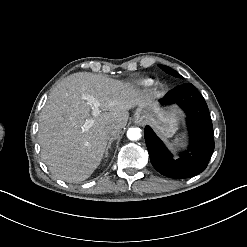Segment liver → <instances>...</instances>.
<instances>
[{
  "label": "liver",
  "instance_id": "6515ba94",
  "mask_svg": "<svg viewBox=\"0 0 247 247\" xmlns=\"http://www.w3.org/2000/svg\"><path fill=\"white\" fill-rule=\"evenodd\" d=\"M146 86L103 74L74 73L63 79L50 93L39 116L38 142L41 157L49 171L68 183L87 179L98 166L109 136L105 129L125 127L128 110L152 97ZM87 93L109 111L97 116L96 123L84 129L91 104L82 98Z\"/></svg>",
  "mask_w": 247,
  "mask_h": 247
}]
</instances>
